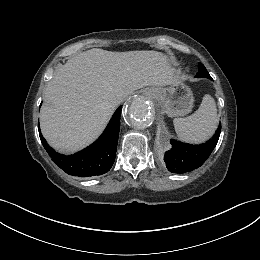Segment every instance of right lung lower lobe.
<instances>
[{
    "instance_id": "98d812e1",
    "label": "right lung lower lobe",
    "mask_w": 260,
    "mask_h": 260,
    "mask_svg": "<svg viewBox=\"0 0 260 260\" xmlns=\"http://www.w3.org/2000/svg\"><path fill=\"white\" fill-rule=\"evenodd\" d=\"M119 107L112 116L103 134L89 147L70 156H65L53 150L40 133L44 148L55 162L67 174L78 177L102 175L110 170L114 161L120 131Z\"/></svg>"
}]
</instances>
